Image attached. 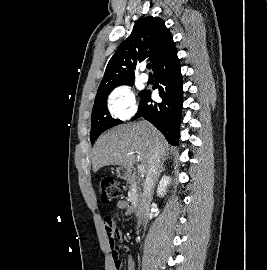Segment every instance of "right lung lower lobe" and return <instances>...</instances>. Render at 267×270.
Returning a JSON list of instances; mask_svg holds the SVG:
<instances>
[{"label": "right lung lower lobe", "instance_id": "1", "mask_svg": "<svg viewBox=\"0 0 267 270\" xmlns=\"http://www.w3.org/2000/svg\"><path fill=\"white\" fill-rule=\"evenodd\" d=\"M156 85L161 103H152L151 91L141 95L136 116L144 117L159 129L172 145L179 141L180 116L182 110V75L175 44L164 54L154 68Z\"/></svg>", "mask_w": 267, "mask_h": 270}]
</instances>
